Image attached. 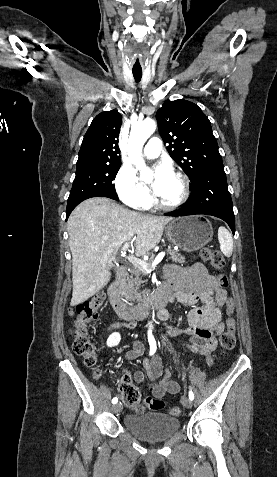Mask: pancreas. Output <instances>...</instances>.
I'll use <instances>...</instances> for the list:
<instances>
[{
	"instance_id": "1",
	"label": "pancreas",
	"mask_w": 277,
	"mask_h": 477,
	"mask_svg": "<svg viewBox=\"0 0 277 477\" xmlns=\"http://www.w3.org/2000/svg\"><path fill=\"white\" fill-rule=\"evenodd\" d=\"M168 253L170 255L169 259L173 262H185V257L182 256L178 251L169 250ZM131 273L132 275L127 279V284L124 289L125 298L126 300L131 302L140 301L142 299L143 294V292L139 290L141 285L143 284L141 277L147 275V272H145L141 268L136 267L134 270L131 271Z\"/></svg>"
}]
</instances>
